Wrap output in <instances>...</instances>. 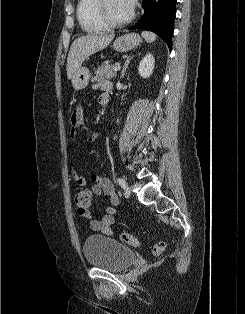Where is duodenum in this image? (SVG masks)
<instances>
[{
	"instance_id": "410a0bca",
	"label": "duodenum",
	"mask_w": 245,
	"mask_h": 314,
	"mask_svg": "<svg viewBox=\"0 0 245 314\" xmlns=\"http://www.w3.org/2000/svg\"><path fill=\"white\" fill-rule=\"evenodd\" d=\"M103 98H104V100L108 101V99L106 97H103Z\"/></svg>"
}]
</instances>
